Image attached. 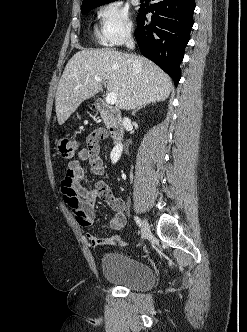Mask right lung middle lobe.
Listing matches in <instances>:
<instances>
[{
	"mask_svg": "<svg viewBox=\"0 0 247 332\" xmlns=\"http://www.w3.org/2000/svg\"><path fill=\"white\" fill-rule=\"evenodd\" d=\"M112 1H115V0H109V1H106V2H103V3H98V4L84 6V7L81 8L82 9V13L85 14L88 11H90V10H92V9L98 7V6H101V5L105 4V3H109V2H112Z\"/></svg>",
	"mask_w": 247,
	"mask_h": 332,
	"instance_id": "right-lung-middle-lobe-1",
	"label": "right lung middle lobe"
}]
</instances>
